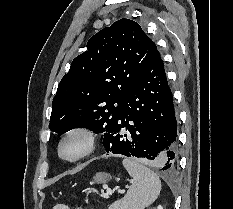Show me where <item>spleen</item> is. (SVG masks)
Returning <instances> with one entry per match:
<instances>
[{"instance_id": "obj_1", "label": "spleen", "mask_w": 233, "mask_h": 209, "mask_svg": "<svg viewBox=\"0 0 233 209\" xmlns=\"http://www.w3.org/2000/svg\"><path fill=\"white\" fill-rule=\"evenodd\" d=\"M124 167L133 178L134 183L129 187L122 200L112 204L109 209H144L152 204L159 196L161 181L149 168L134 159L125 158ZM53 209H68L65 205H56Z\"/></svg>"}]
</instances>
